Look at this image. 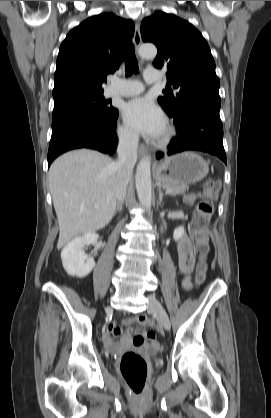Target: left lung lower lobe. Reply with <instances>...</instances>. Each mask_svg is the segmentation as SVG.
<instances>
[{
    "label": "left lung lower lobe",
    "mask_w": 271,
    "mask_h": 418,
    "mask_svg": "<svg viewBox=\"0 0 271 418\" xmlns=\"http://www.w3.org/2000/svg\"><path fill=\"white\" fill-rule=\"evenodd\" d=\"M173 118L178 136L172 139L168 155L197 150L215 155L226 163L219 109L196 107L185 110ZM162 156V153L157 154L158 159Z\"/></svg>",
    "instance_id": "1"
}]
</instances>
